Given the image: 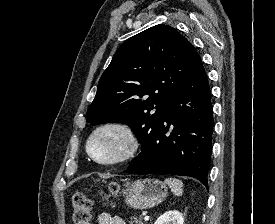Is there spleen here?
Here are the masks:
<instances>
[{
	"label": "spleen",
	"mask_w": 275,
	"mask_h": 224,
	"mask_svg": "<svg viewBox=\"0 0 275 224\" xmlns=\"http://www.w3.org/2000/svg\"><path fill=\"white\" fill-rule=\"evenodd\" d=\"M165 183L170 187L171 191L176 196H181L183 193V183L179 179L175 178H166Z\"/></svg>",
	"instance_id": "1"
}]
</instances>
